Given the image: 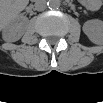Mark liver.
I'll use <instances>...</instances> for the list:
<instances>
[{"mask_svg":"<svg viewBox=\"0 0 103 103\" xmlns=\"http://www.w3.org/2000/svg\"><path fill=\"white\" fill-rule=\"evenodd\" d=\"M27 4L28 2L24 0L3 1L1 5V26H6L14 21Z\"/></svg>","mask_w":103,"mask_h":103,"instance_id":"1","label":"liver"}]
</instances>
